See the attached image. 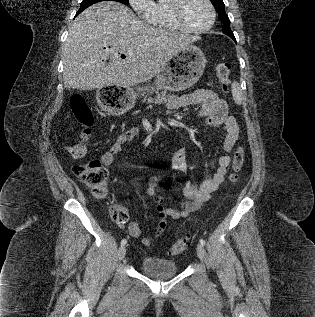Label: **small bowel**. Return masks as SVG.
Listing matches in <instances>:
<instances>
[{"instance_id": "small-bowel-1", "label": "small bowel", "mask_w": 315, "mask_h": 317, "mask_svg": "<svg viewBox=\"0 0 315 317\" xmlns=\"http://www.w3.org/2000/svg\"><path fill=\"white\" fill-rule=\"evenodd\" d=\"M190 105H200L198 112L199 124L207 127L224 126L226 135L223 143V154L218 160L216 172L200 184L186 181L182 187L178 188L184 196L180 203V208L167 207L164 205L162 189L159 185V178L152 177L148 181L146 192L156 203V211L159 222L153 233L142 239L143 245L149 247L154 238L158 237L163 231L167 230V218L181 219L199 210L201 206L209 201L215 191L222 185L227 169L231 162L230 153L233 150L239 136V127L236 119L229 114L226 102L217 93L208 89H199L192 93L172 99L168 103L170 110L181 109ZM139 134L138 128H129L122 132L112 147L101 156L104 166L114 163L116 156L123 150L124 146L136 138ZM172 168L176 171L187 173L189 165L186 157V149L181 146L176 149L172 158ZM131 237L141 236V227L138 222L133 221L128 227Z\"/></svg>"}]
</instances>
